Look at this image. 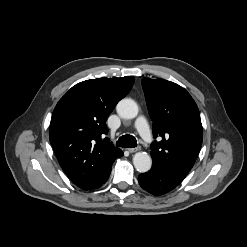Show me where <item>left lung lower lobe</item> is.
Masks as SVG:
<instances>
[{
  "instance_id": "1",
  "label": "left lung lower lobe",
  "mask_w": 247,
  "mask_h": 247,
  "mask_svg": "<svg viewBox=\"0 0 247 247\" xmlns=\"http://www.w3.org/2000/svg\"><path fill=\"white\" fill-rule=\"evenodd\" d=\"M140 186L153 195H162L174 189L182 180L169 172L152 166V168L138 176Z\"/></svg>"
}]
</instances>
